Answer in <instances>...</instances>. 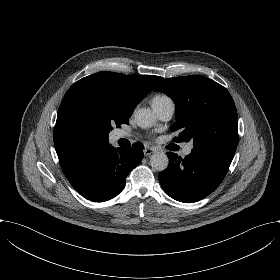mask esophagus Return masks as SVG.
Masks as SVG:
<instances>
[{"mask_svg":"<svg viewBox=\"0 0 280 280\" xmlns=\"http://www.w3.org/2000/svg\"><path fill=\"white\" fill-rule=\"evenodd\" d=\"M143 152H144L145 156H150L151 154H153L155 152V149L151 148V147H147L144 149Z\"/></svg>","mask_w":280,"mask_h":280,"instance_id":"34e87169","label":"esophagus"}]
</instances>
